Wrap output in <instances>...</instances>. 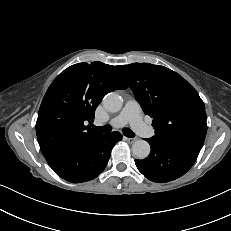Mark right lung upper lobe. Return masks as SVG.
<instances>
[{
  "label": "right lung upper lobe",
  "mask_w": 231,
  "mask_h": 231,
  "mask_svg": "<svg viewBox=\"0 0 231 231\" xmlns=\"http://www.w3.org/2000/svg\"><path fill=\"white\" fill-rule=\"evenodd\" d=\"M119 66L96 61L74 64L61 72L48 88L38 113L36 134L47 161L80 149L101 135L87 122L103 97L126 89Z\"/></svg>",
  "instance_id": "1"
}]
</instances>
